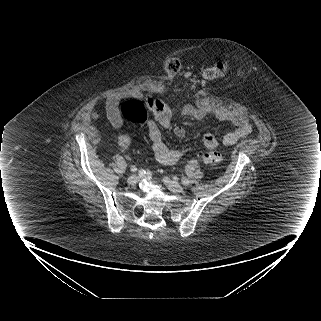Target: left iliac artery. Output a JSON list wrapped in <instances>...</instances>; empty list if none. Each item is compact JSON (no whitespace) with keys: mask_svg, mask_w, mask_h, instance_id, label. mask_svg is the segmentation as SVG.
<instances>
[{"mask_svg":"<svg viewBox=\"0 0 321 321\" xmlns=\"http://www.w3.org/2000/svg\"><path fill=\"white\" fill-rule=\"evenodd\" d=\"M181 181H182V184H183V185H186V186L189 185V183H190L189 180L186 179V178H182Z\"/></svg>","mask_w":321,"mask_h":321,"instance_id":"1","label":"left iliac artery"}]
</instances>
